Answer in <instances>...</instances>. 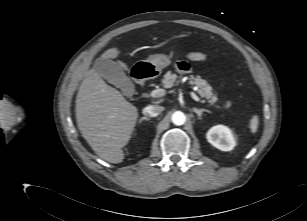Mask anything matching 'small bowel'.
Here are the masks:
<instances>
[{"label":"small bowel","instance_id":"small-bowel-1","mask_svg":"<svg viewBox=\"0 0 307 221\" xmlns=\"http://www.w3.org/2000/svg\"><path fill=\"white\" fill-rule=\"evenodd\" d=\"M188 58L191 61H195V62H203L206 60L207 55L205 52L202 51H194L188 54Z\"/></svg>","mask_w":307,"mask_h":221}]
</instances>
